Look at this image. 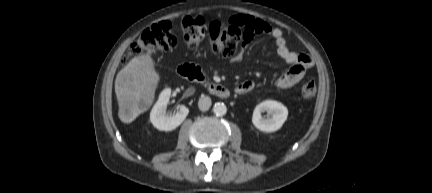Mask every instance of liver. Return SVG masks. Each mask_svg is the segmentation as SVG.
Returning a JSON list of instances; mask_svg holds the SVG:
<instances>
[{"mask_svg": "<svg viewBox=\"0 0 432 193\" xmlns=\"http://www.w3.org/2000/svg\"><path fill=\"white\" fill-rule=\"evenodd\" d=\"M159 79L151 50L134 57L119 71L115 80V93L119 105L118 116L122 122L131 123L148 110L154 101Z\"/></svg>", "mask_w": 432, "mask_h": 193, "instance_id": "1", "label": "liver"}]
</instances>
